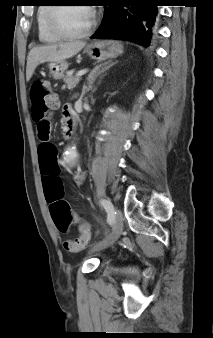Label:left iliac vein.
Wrapping results in <instances>:
<instances>
[{"label": "left iliac vein", "instance_id": "4c4485c4", "mask_svg": "<svg viewBox=\"0 0 213 338\" xmlns=\"http://www.w3.org/2000/svg\"><path fill=\"white\" fill-rule=\"evenodd\" d=\"M123 215L122 212L119 209L115 210L114 215V228L111 234L105 238L100 243L96 244L94 247H92L89 251V253H93L102 249H105L111 245H113L118 238L120 237L122 231H123Z\"/></svg>", "mask_w": 213, "mask_h": 338}]
</instances>
